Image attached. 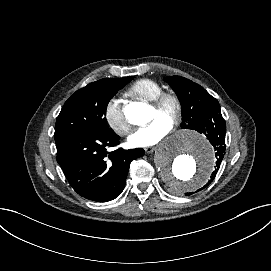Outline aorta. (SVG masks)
<instances>
[{
    "label": "aorta",
    "instance_id": "762f6f07",
    "mask_svg": "<svg viewBox=\"0 0 271 271\" xmlns=\"http://www.w3.org/2000/svg\"><path fill=\"white\" fill-rule=\"evenodd\" d=\"M124 114L130 123L142 125L148 119V107L134 102L126 106ZM154 161L161 179L175 193L203 186L215 166L209 143L192 131L179 132L163 141L155 151Z\"/></svg>",
    "mask_w": 271,
    "mask_h": 271
}]
</instances>
